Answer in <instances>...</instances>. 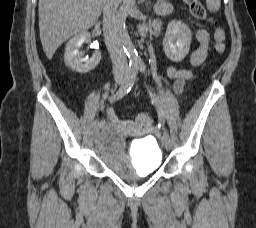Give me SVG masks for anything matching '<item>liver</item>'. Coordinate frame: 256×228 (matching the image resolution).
I'll return each instance as SVG.
<instances>
[{
    "mask_svg": "<svg viewBox=\"0 0 256 228\" xmlns=\"http://www.w3.org/2000/svg\"><path fill=\"white\" fill-rule=\"evenodd\" d=\"M102 7L103 0H39L40 40L47 58L71 36L91 28Z\"/></svg>",
    "mask_w": 256,
    "mask_h": 228,
    "instance_id": "liver-1",
    "label": "liver"
}]
</instances>
